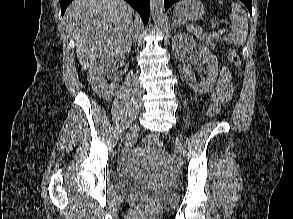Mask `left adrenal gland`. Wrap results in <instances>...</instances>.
<instances>
[{
  "mask_svg": "<svg viewBox=\"0 0 293 219\" xmlns=\"http://www.w3.org/2000/svg\"><path fill=\"white\" fill-rule=\"evenodd\" d=\"M179 25V23L176 22V20H173V26H174V30L176 29V27Z\"/></svg>",
  "mask_w": 293,
  "mask_h": 219,
  "instance_id": "a2214340",
  "label": "left adrenal gland"
}]
</instances>
